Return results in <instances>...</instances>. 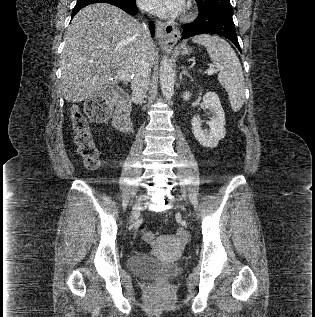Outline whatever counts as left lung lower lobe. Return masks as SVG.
<instances>
[{"label":"left lung lower lobe","mask_w":315,"mask_h":317,"mask_svg":"<svg viewBox=\"0 0 315 317\" xmlns=\"http://www.w3.org/2000/svg\"><path fill=\"white\" fill-rule=\"evenodd\" d=\"M232 15L233 13L204 12L199 9V15L194 22L182 25L181 40L202 33L218 34L232 41L241 52Z\"/></svg>","instance_id":"0a47b994"}]
</instances>
